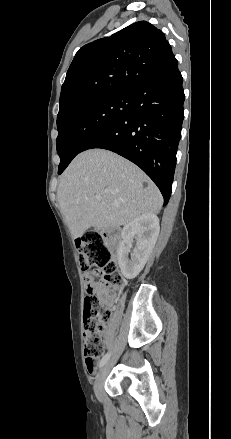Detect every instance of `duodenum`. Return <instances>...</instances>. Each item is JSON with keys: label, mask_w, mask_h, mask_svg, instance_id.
Wrapping results in <instances>:
<instances>
[{"label": "duodenum", "mask_w": 231, "mask_h": 439, "mask_svg": "<svg viewBox=\"0 0 231 439\" xmlns=\"http://www.w3.org/2000/svg\"><path fill=\"white\" fill-rule=\"evenodd\" d=\"M110 234L112 236H117L118 235V233L115 230H110Z\"/></svg>", "instance_id": "410a0bca"}]
</instances>
